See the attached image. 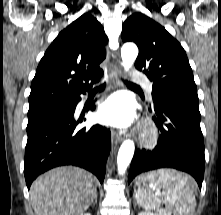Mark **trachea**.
Listing matches in <instances>:
<instances>
[{"mask_svg": "<svg viewBox=\"0 0 221 215\" xmlns=\"http://www.w3.org/2000/svg\"><path fill=\"white\" fill-rule=\"evenodd\" d=\"M125 82H126L127 84H129V85L138 87L136 84H133V83H131V82H128V81H125Z\"/></svg>", "mask_w": 221, "mask_h": 215, "instance_id": "obj_1", "label": "trachea"}]
</instances>
